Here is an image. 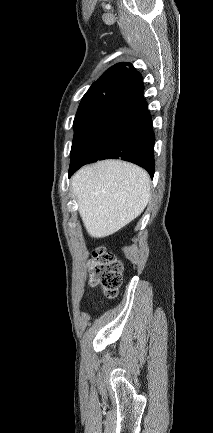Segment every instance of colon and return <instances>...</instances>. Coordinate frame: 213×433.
Instances as JSON below:
<instances>
[{
    "mask_svg": "<svg viewBox=\"0 0 213 433\" xmlns=\"http://www.w3.org/2000/svg\"><path fill=\"white\" fill-rule=\"evenodd\" d=\"M123 265L104 247L93 251L90 263V285L100 287L108 297H115L122 283Z\"/></svg>",
    "mask_w": 213,
    "mask_h": 433,
    "instance_id": "1",
    "label": "colon"
}]
</instances>
